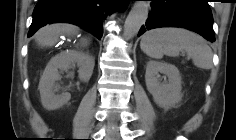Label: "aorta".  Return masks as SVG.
<instances>
[{
  "label": "aorta",
  "instance_id": "762f6f07",
  "mask_svg": "<svg viewBox=\"0 0 236 140\" xmlns=\"http://www.w3.org/2000/svg\"><path fill=\"white\" fill-rule=\"evenodd\" d=\"M150 4L147 1H136L129 12L124 24V37L130 39L140 30L146 22L149 14Z\"/></svg>",
  "mask_w": 236,
  "mask_h": 140
}]
</instances>
